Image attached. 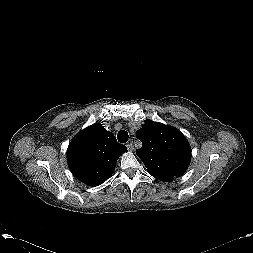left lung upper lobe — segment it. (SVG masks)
I'll return each mask as SVG.
<instances>
[{
  "label": "left lung upper lobe",
  "instance_id": "1",
  "mask_svg": "<svg viewBox=\"0 0 253 253\" xmlns=\"http://www.w3.org/2000/svg\"><path fill=\"white\" fill-rule=\"evenodd\" d=\"M142 147L136 150L147 171L179 177L187 170L191 160V147L178 129L152 120L136 132Z\"/></svg>",
  "mask_w": 253,
  "mask_h": 253
}]
</instances>
